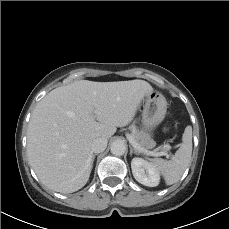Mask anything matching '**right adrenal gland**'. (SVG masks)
<instances>
[{
	"mask_svg": "<svg viewBox=\"0 0 229 229\" xmlns=\"http://www.w3.org/2000/svg\"><path fill=\"white\" fill-rule=\"evenodd\" d=\"M97 155H98V154H93V155H92V164H93L94 159H95V157H96Z\"/></svg>",
	"mask_w": 229,
	"mask_h": 229,
	"instance_id": "right-adrenal-gland-1",
	"label": "right adrenal gland"
}]
</instances>
